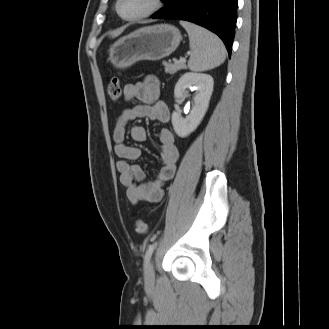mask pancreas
Listing matches in <instances>:
<instances>
[{"label": "pancreas", "mask_w": 329, "mask_h": 329, "mask_svg": "<svg viewBox=\"0 0 329 329\" xmlns=\"http://www.w3.org/2000/svg\"><path fill=\"white\" fill-rule=\"evenodd\" d=\"M164 66H165V72L170 74H174L177 71L186 68L185 63L177 61L176 59H173V63L171 62L164 63Z\"/></svg>", "instance_id": "pancreas-1"}]
</instances>
